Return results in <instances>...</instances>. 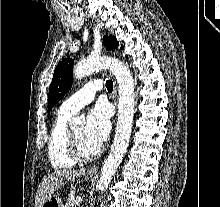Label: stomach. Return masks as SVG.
<instances>
[{
  "instance_id": "1",
  "label": "stomach",
  "mask_w": 220,
  "mask_h": 207,
  "mask_svg": "<svg viewBox=\"0 0 220 207\" xmlns=\"http://www.w3.org/2000/svg\"><path fill=\"white\" fill-rule=\"evenodd\" d=\"M92 179L91 176L86 175L85 180H90ZM42 207H63L62 200L58 196H51L44 204Z\"/></svg>"
}]
</instances>
